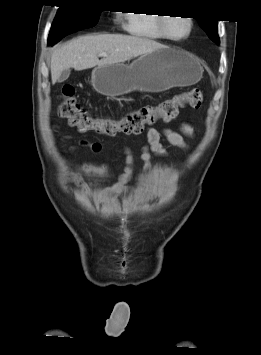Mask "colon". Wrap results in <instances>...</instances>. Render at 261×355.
Here are the masks:
<instances>
[{
	"label": "colon",
	"instance_id": "obj_1",
	"mask_svg": "<svg viewBox=\"0 0 261 355\" xmlns=\"http://www.w3.org/2000/svg\"><path fill=\"white\" fill-rule=\"evenodd\" d=\"M74 92L70 85L63 87L59 107L61 117L81 132H95L107 136L139 134L145 127L158 121H172L179 111L186 107L199 108L203 103L201 90L193 88L156 105H146L133 110L121 119L95 118L77 102Z\"/></svg>",
	"mask_w": 261,
	"mask_h": 355
}]
</instances>
